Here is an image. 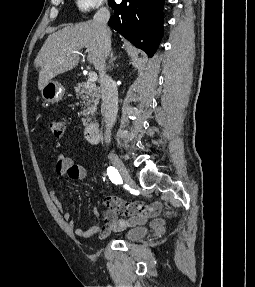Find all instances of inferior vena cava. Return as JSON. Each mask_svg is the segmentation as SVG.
<instances>
[{
  "instance_id": "1",
  "label": "inferior vena cava",
  "mask_w": 255,
  "mask_h": 287,
  "mask_svg": "<svg viewBox=\"0 0 255 287\" xmlns=\"http://www.w3.org/2000/svg\"><path fill=\"white\" fill-rule=\"evenodd\" d=\"M110 18V12L107 8H99L97 14L93 18V22L100 26V30L103 36V58L99 66V76H100V88H101V98H102V108L104 112V122L106 124L105 128V142L110 144L111 142V128L116 120L118 112V92L115 82L112 78L106 74V60L109 56L111 50V32L107 26V22Z\"/></svg>"
}]
</instances>
